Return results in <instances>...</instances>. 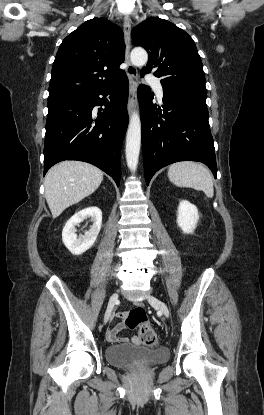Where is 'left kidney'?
<instances>
[{
  "mask_svg": "<svg viewBox=\"0 0 264 415\" xmlns=\"http://www.w3.org/2000/svg\"><path fill=\"white\" fill-rule=\"evenodd\" d=\"M199 220L198 209L187 200L178 206L177 224L184 233H193Z\"/></svg>",
  "mask_w": 264,
  "mask_h": 415,
  "instance_id": "1",
  "label": "left kidney"
}]
</instances>
